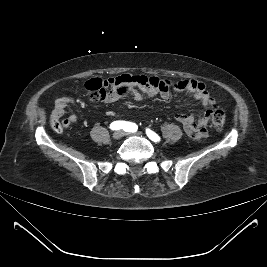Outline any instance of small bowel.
Masks as SVG:
<instances>
[{"label": "small bowel", "instance_id": "c3829d8e", "mask_svg": "<svg viewBox=\"0 0 267 267\" xmlns=\"http://www.w3.org/2000/svg\"><path fill=\"white\" fill-rule=\"evenodd\" d=\"M145 76L123 74L117 77L107 79L92 78L85 82V88L90 92L91 99L97 102L114 103L123 96L130 94L135 99L140 100L144 96H153L159 94L163 99L168 100L172 96V90L178 93H186L192 95L206 109L205 112L195 114H177L175 119L180 123L187 135L193 139L201 140L207 136V125L211 115V108L215 105L214 99L207 92L203 82L197 80H183L172 83L168 80H161L163 86L157 91H148L142 85L141 80ZM73 102L71 97H61L56 100L53 116L55 118L62 117L67 106ZM78 121L75 114H71L62 123L64 127H68Z\"/></svg>", "mask_w": 267, "mask_h": 267}]
</instances>
